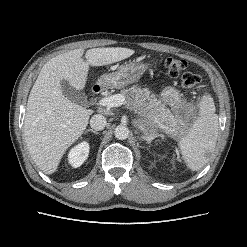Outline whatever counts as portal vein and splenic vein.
<instances>
[{"label": "portal vein and splenic vein", "instance_id": "portal-vein-and-splenic-vein-1", "mask_svg": "<svg viewBox=\"0 0 247 247\" xmlns=\"http://www.w3.org/2000/svg\"><path fill=\"white\" fill-rule=\"evenodd\" d=\"M98 104L103 107H118L122 104H125V97L122 94H115L112 96L101 98L98 101Z\"/></svg>", "mask_w": 247, "mask_h": 247}]
</instances>
